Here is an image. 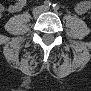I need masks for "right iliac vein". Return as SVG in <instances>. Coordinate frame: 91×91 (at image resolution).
Returning a JSON list of instances; mask_svg holds the SVG:
<instances>
[{"instance_id": "right-iliac-vein-1", "label": "right iliac vein", "mask_w": 91, "mask_h": 91, "mask_svg": "<svg viewBox=\"0 0 91 91\" xmlns=\"http://www.w3.org/2000/svg\"><path fill=\"white\" fill-rule=\"evenodd\" d=\"M42 10H43V8L40 7V6L35 7V8L33 9V11H32V14H33L34 16H38V15L41 14Z\"/></svg>"}]
</instances>
